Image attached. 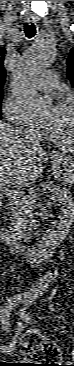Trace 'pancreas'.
<instances>
[{"label": "pancreas", "instance_id": "cf45deb5", "mask_svg": "<svg viewBox=\"0 0 74 366\" xmlns=\"http://www.w3.org/2000/svg\"><path fill=\"white\" fill-rule=\"evenodd\" d=\"M40 192L52 193L51 197L60 200L63 204L73 201L69 189L56 186L51 182H44L39 188L30 190L28 195H26V199H9L15 208L18 209V213L14 217L10 229L12 230L13 235L19 239L26 240L37 230L38 225L33 222L34 213H32V208L34 207V202L38 198Z\"/></svg>", "mask_w": 74, "mask_h": 366}]
</instances>
